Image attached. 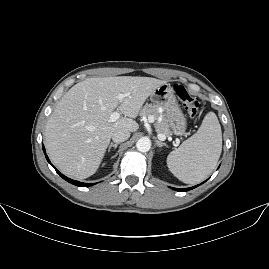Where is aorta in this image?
<instances>
[{"mask_svg": "<svg viewBox=\"0 0 269 269\" xmlns=\"http://www.w3.org/2000/svg\"><path fill=\"white\" fill-rule=\"evenodd\" d=\"M151 148V141L147 138H141L136 143V149L139 152H148Z\"/></svg>", "mask_w": 269, "mask_h": 269, "instance_id": "762f6f07", "label": "aorta"}]
</instances>
